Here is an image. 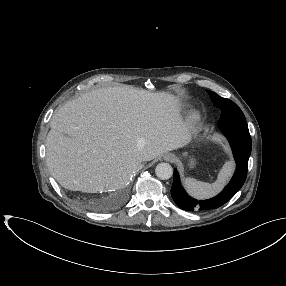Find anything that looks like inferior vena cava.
Wrapping results in <instances>:
<instances>
[{
	"instance_id": "inferior-vena-cava-1",
	"label": "inferior vena cava",
	"mask_w": 286,
	"mask_h": 286,
	"mask_svg": "<svg viewBox=\"0 0 286 286\" xmlns=\"http://www.w3.org/2000/svg\"><path fill=\"white\" fill-rule=\"evenodd\" d=\"M141 168V164H138L135 168V170L140 169Z\"/></svg>"
}]
</instances>
